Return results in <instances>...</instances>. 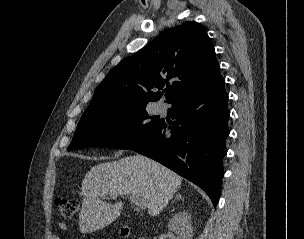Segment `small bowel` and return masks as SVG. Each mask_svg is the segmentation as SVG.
I'll use <instances>...</instances> for the list:
<instances>
[{"instance_id":"small-bowel-1","label":"small bowel","mask_w":304,"mask_h":239,"mask_svg":"<svg viewBox=\"0 0 304 239\" xmlns=\"http://www.w3.org/2000/svg\"><path fill=\"white\" fill-rule=\"evenodd\" d=\"M59 232H64L67 229V225L64 222H59L57 225ZM51 239H61V236L58 232L52 234Z\"/></svg>"}]
</instances>
